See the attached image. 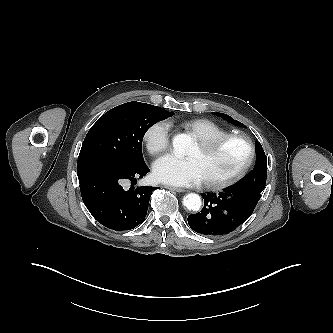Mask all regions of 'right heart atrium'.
<instances>
[{
    "mask_svg": "<svg viewBox=\"0 0 333 333\" xmlns=\"http://www.w3.org/2000/svg\"><path fill=\"white\" fill-rule=\"evenodd\" d=\"M143 140L150 154L162 153L170 144V124L165 120L154 122L144 132Z\"/></svg>",
    "mask_w": 333,
    "mask_h": 333,
    "instance_id": "right-heart-atrium-1",
    "label": "right heart atrium"
}]
</instances>
